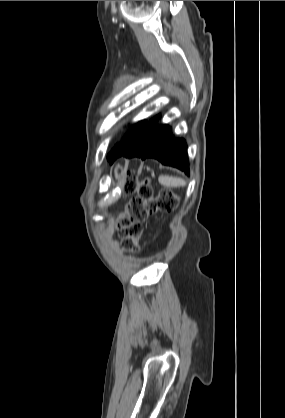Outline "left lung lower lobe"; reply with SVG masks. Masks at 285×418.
<instances>
[{
    "mask_svg": "<svg viewBox=\"0 0 285 418\" xmlns=\"http://www.w3.org/2000/svg\"><path fill=\"white\" fill-rule=\"evenodd\" d=\"M158 118L156 116L145 124L127 149L119 156L127 158L139 157L142 159L155 158L162 164L174 166L188 173L189 166L185 140L175 139L170 127L157 125Z\"/></svg>",
    "mask_w": 285,
    "mask_h": 418,
    "instance_id": "obj_1",
    "label": "left lung lower lobe"
}]
</instances>
